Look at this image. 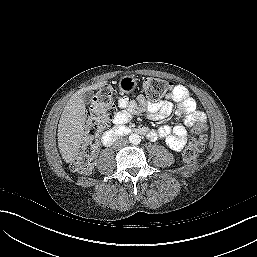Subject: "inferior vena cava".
Masks as SVG:
<instances>
[{"instance_id": "602c4592", "label": "inferior vena cava", "mask_w": 257, "mask_h": 257, "mask_svg": "<svg viewBox=\"0 0 257 257\" xmlns=\"http://www.w3.org/2000/svg\"><path fill=\"white\" fill-rule=\"evenodd\" d=\"M127 144H128V140H127V139H125V138H118V139L114 142L113 148H114L115 150H119V149H121V148L127 146Z\"/></svg>"}]
</instances>
